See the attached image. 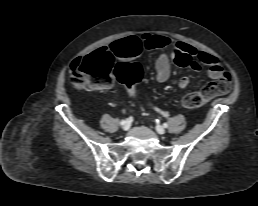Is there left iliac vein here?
Returning a JSON list of instances; mask_svg holds the SVG:
<instances>
[{
    "label": "left iliac vein",
    "instance_id": "1",
    "mask_svg": "<svg viewBox=\"0 0 258 206\" xmlns=\"http://www.w3.org/2000/svg\"><path fill=\"white\" fill-rule=\"evenodd\" d=\"M156 131H157L159 134H161V135H163V134L165 133V129H164V127L161 126V125H157V126H156Z\"/></svg>",
    "mask_w": 258,
    "mask_h": 206
}]
</instances>
